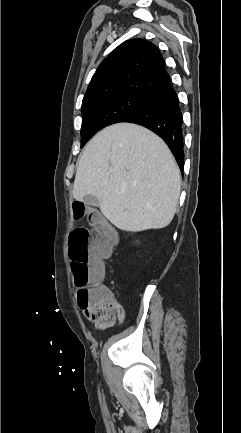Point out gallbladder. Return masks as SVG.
I'll return each mask as SVG.
<instances>
[{"mask_svg": "<svg viewBox=\"0 0 241 433\" xmlns=\"http://www.w3.org/2000/svg\"><path fill=\"white\" fill-rule=\"evenodd\" d=\"M83 201L86 205L89 206H97L99 204L98 198L93 195H86Z\"/></svg>", "mask_w": 241, "mask_h": 433, "instance_id": "gallbladder-1", "label": "gallbladder"}]
</instances>
